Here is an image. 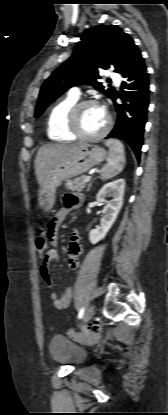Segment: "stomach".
<instances>
[{
	"mask_svg": "<svg viewBox=\"0 0 168 415\" xmlns=\"http://www.w3.org/2000/svg\"><path fill=\"white\" fill-rule=\"evenodd\" d=\"M106 156L107 153L103 148L85 143L73 155L52 166L40 185L38 192L40 208L45 212L50 211L55 203L56 190L63 181L87 172L101 163Z\"/></svg>",
	"mask_w": 168,
	"mask_h": 415,
	"instance_id": "stomach-1",
	"label": "stomach"
}]
</instances>
